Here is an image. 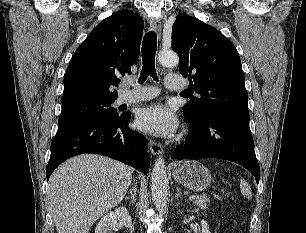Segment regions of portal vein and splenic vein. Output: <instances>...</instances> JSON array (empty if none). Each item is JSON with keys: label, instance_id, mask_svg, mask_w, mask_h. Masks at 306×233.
Listing matches in <instances>:
<instances>
[{"label": "portal vein and splenic vein", "instance_id": "1", "mask_svg": "<svg viewBox=\"0 0 306 233\" xmlns=\"http://www.w3.org/2000/svg\"><path fill=\"white\" fill-rule=\"evenodd\" d=\"M196 196L195 195H191L189 196V200H195Z\"/></svg>", "mask_w": 306, "mask_h": 233}]
</instances>
